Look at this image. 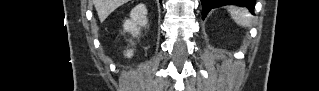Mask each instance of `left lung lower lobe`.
Here are the masks:
<instances>
[{"mask_svg":"<svg viewBox=\"0 0 319 91\" xmlns=\"http://www.w3.org/2000/svg\"><path fill=\"white\" fill-rule=\"evenodd\" d=\"M202 3V19H204L207 15V13L215 7L221 6V5H227V4H236L241 5L243 7H247L250 12L253 13L254 6H255V0H201Z\"/></svg>","mask_w":319,"mask_h":91,"instance_id":"1","label":"left lung lower lobe"}]
</instances>
